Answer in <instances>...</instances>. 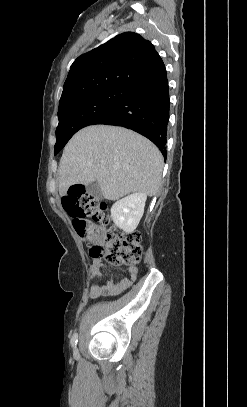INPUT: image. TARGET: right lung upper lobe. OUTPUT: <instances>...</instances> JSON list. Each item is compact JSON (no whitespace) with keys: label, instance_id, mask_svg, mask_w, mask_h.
<instances>
[{"label":"right lung upper lobe","instance_id":"obj_1","mask_svg":"<svg viewBox=\"0 0 247 407\" xmlns=\"http://www.w3.org/2000/svg\"><path fill=\"white\" fill-rule=\"evenodd\" d=\"M164 68L150 41L133 32L122 33L73 62L59 107L106 88H134Z\"/></svg>","mask_w":247,"mask_h":407}]
</instances>
